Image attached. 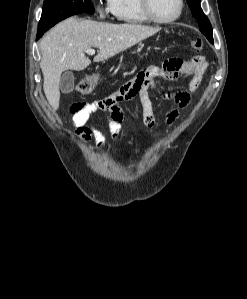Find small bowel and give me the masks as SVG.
I'll return each instance as SVG.
<instances>
[{
  "mask_svg": "<svg viewBox=\"0 0 247 299\" xmlns=\"http://www.w3.org/2000/svg\"><path fill=\"white\" fill-rule=\"evenodd\" d=\"M206 61L202 56L191 60L169 59L162 67L151 66L138 73L134 78L121 85L108 97L92 102H78L71 106L72 125L76 135L83 141L93 140L100 148H106L108 141L104 134L95 126L92 116L97 112H105L108 127L112 138L117 141L122 133L123 112L121 103L138 98L141 106L142 119L147 128H154L157 118L154 113L150 90L156 89V79L173 81L182 75L189 78L188 90L166 93L165 100H170L172 105L165 110L166 122L173 125L178 118L179 109L186 108L193 93L198 89Z\"/></svg>",
  "mask_w": 247,
  "mask_h": 299,
  "instance_id": "obj_1",
  "label": "small bowel"
}]
</instances>
